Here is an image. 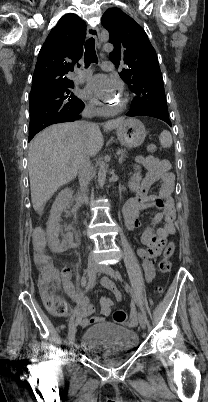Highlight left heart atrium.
<instances>
[{
  "label": "left heart atrium",
  "mask_w": 208,
  "mask_h": 402,
  "mask_svg": "<svg viewBox=\"0 0 208 402\" xmlns=\"http://www.w3.org/2000/svg\"><path fill=\"white\" fill-rule=\"evenodd\" d=\"M114 89L112 81L103 74H96L87 79V82L80 92L83 99L96 100L97 98L108 100L111 92ZM109 94V96H107Z\"/></svg>",
  "instance_id": "left-heart-atrium-1"
}]
</instances>
